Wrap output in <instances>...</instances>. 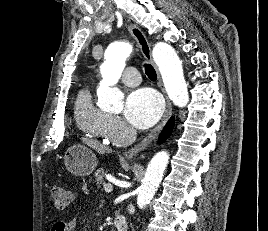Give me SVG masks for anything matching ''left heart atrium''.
Instances as JSON below:
<instances>
[{"label":"left heart atrium","mask_w":268,"mask_h":231,"mask_svg":"<svg viewBox=\"0 0 268 231\" xmlns=\"http://www.w3.org/2000/svg\"><path fill=\"white\" fill-rule=\"evenodd\" d=\"M163 103L157 92L140 88L130 92L126 98L124 116L126 121L138 128H149L161 117Z\"/></svg>","instance_id":"1"}]
</instances>
